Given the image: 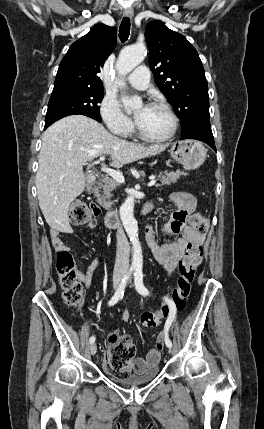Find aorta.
<instances>
[{
	"label": "aorta",
	"instance_id": "aorta-1",
	"mask_svg": "<svg viewBox=\"0 0 264 429\" xmlns=\"http://www.w3.org/2000/svg\"><path fill=\"white\" fill-rule=\"evenodd\" d=\"M146 56V47L144 44H135L125 47L121 50L117 60V70L120 76H126L136 66H138ZM119 86H124L123 80L118 82ZM123 104L127 107L128 111L139 108L142 106V100L139 97L129 98L122 97ZM134 197L130 195L120 207V218L123 223L124 229L130 238L133 246V258L131 268L140 269L143 264V255L141 244L138 239V223L134 218Z\"/></svg>",
	"mask_w": 264,
	"mask_h": 429
}]
</instances>
